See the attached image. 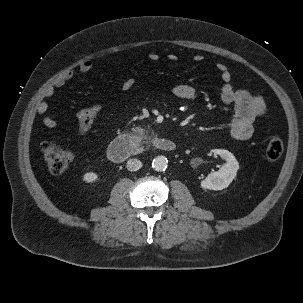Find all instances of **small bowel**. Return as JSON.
I'll return each instance as SVG.
<instances>
[{"instance_id":"c3829d8e","label":"small bowel","mask_w":303,"mask_h":303,"mask_svg":"<svg viewBox=\"0 0 303 303\" xmlns=\"http://www.w3.org/2000/svg\"><path fill=\"white\" fill-rule=\"evenodd\" d=\"M148 59L152 62H158L160 55L157 53H151L148 55ZM170 61H176L178 57L175 54L168 55ZM195 62H202L204 57L202 55H195L193 57ZM93 63L91 61H85L79 66L81 73H88L92 70ZM215 68L220 73L223 86L221 89V101L225 105L233 107V116L230 120L229 136L238 141H244L254 133V124L256 120L262 117L266 112V104L261 96L255 95L252 92L236 88L232 84V75L223 62L215 64ZM75 76L74 70L65 72L62 76L55 80V82L45 91V97H50L54 94L57 88L65 85V83L71 80ZM135 85V79L133 77H127L121 84L120 89L123 92L131 90ZM173 94L184 100H192L196 97V90L189 84H178L173 88ZM36 111L42 116L43 123L48 128L56 126V122L53 118L47 115L48 104L46 102H40L37 105Z\"/></svg>"}]
</instances>
